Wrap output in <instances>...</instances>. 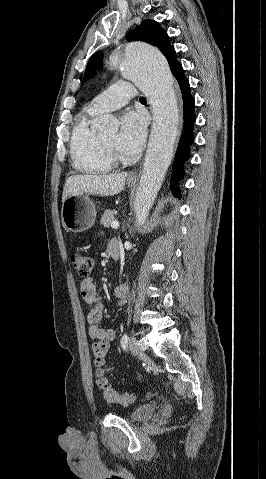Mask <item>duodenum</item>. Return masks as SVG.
<instances>
[{"label": "duodenum", "mask_w": 266, "mask_h": 479, "mask_svg": "<svg viewBox=\"0 0 266 479\" xmlns=\"http://www.w3.org/2000/svg\"><path fill=\"white\" fill-rule=\"evenodd\" d=\"M108 251L110 256L114 259L117 260L120 256V246L119 243L116 240H113L109 243Z\"/></svg>", "instance_id": "obj_1"}]
</instances>
